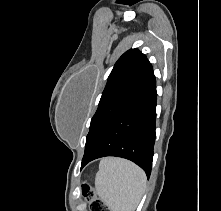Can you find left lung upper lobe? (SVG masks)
Returning a JSON list of instances; mask_svg holds the SVG:
<instances>
[{"label":"left lung upper lobe","mask_w":221,"mask_h":211,"mask_svg":"<svg viewBox=\"0 0 221 211\" xmlns=\"http://www.w3.org/2000/svg\"><path fill=\"white\" fill-rule=\"evenodd\" d=\"M152 71L151 63L138 49H130L118 59L108 77L98 109L91 119L85 153L92 148L118 113L139 93Z\"/></svg>","instance_id":"1"}]
</instances>
